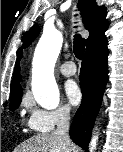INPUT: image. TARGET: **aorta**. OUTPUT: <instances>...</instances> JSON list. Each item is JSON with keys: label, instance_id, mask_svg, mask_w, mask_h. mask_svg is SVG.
<instances>
[{"label": "aorta", "instance_id": "1", "mask_svg": "<svg viewBox=\"0 0 123 152\" xmlns=\"http://www.w3.org/2000/svg\"><path fill=\"white\" fill-rule=\"evenodd\" d=\"M62 47L59 31L45 30L36 46L32 62V91L36 102L44 109L53 110L59 105V89L53 71ZM97 136L90 143V150L96 147Z\"/></svg>", "mask_w": 123, "mask_h": 152}]
</instances>
